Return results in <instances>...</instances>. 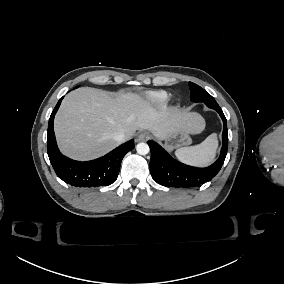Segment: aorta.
Here are the masks:
<instances>
[{"label": "aorta", "instance_id": "obj_1", "mask_svg": "<svg viewBox=\"0 0 284 284\" xmlns=\"http://www.w3.org/2000/svg\"><path fill=\"white\" fill-rule=\"evenodd\" d=\"M136 151L140 155H146L149 153L150 149L147 143H138L136 146Z\"/></svg>", "mask_w": 284, "mask_h": 284}]
</instances>
